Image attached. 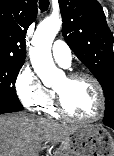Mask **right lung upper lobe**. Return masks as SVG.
<instances>
[{"label": "right lung upper lobe", "instance_id": "obj_1", "mask_svg": "<svg viewBox=\"0 0 114 156\" xmlns=\"http://www.w3.org/2000/svg\"><path fill=\"white\" fill-rule=\"evenodd\" d=\"M37 17V0H0V59L25 61V35Z\"/></svg>", "mask_w": 114, "mask_h": 156}]
</instances>
